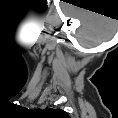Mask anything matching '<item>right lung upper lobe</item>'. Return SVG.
Wrapping results in <instances>:
<instances>
[{"label":"right lung upper lobe","instance_id":"1","mask_svg":"<svg viewBox=\"0 0 118 118\" xmlns=\"http://www.w3.org/2000/svg\"><path fill=\"white\" fill-rule=\"evenodd\" d=\"M48 112L50 113H62L63 111L62 110H55V109H48Z\"/></svg>","mask_w":118,"mask_h":118}]
</instances>
